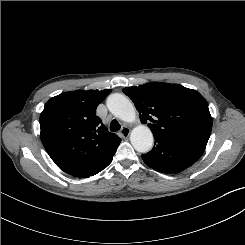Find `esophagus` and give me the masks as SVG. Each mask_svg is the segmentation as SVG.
Returning <instances> with one entry per match:
<instances>
[{
  "label": "esophagus",
  "mask_w": 245,
  "mask_h": 245,
  "mask_svg": "<svg viewBox=\"0 0 245 245\" xmlns=\"http://www.w3.org/2000/svg\"><path fill=\"white\" fill-rule=\"evenodd\" d=\"M130 128L129 127H127V126H124L122 129H121V136L123 137V138H127L128 136H129V134H130Z\"/></svg>",
  "instance_id": "obj_1"
}]
</instances>
